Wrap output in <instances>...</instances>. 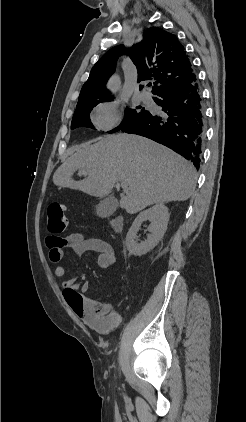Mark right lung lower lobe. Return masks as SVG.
<instances>
[{"mask_svg": "<svg viewBox=\"0 0 246 422\" xmlns=\"http://www.w3.org/2000/svg\"><path fill=\"white\" fill-rule=\"evenodd\" d=\"M165 116L150 113L122 129L161 143L190 160L198 169L205 139V117L197 81L178 85L154 98Z\"/></svg>", "mask_w": 246, "mask_h": 422, "instance_id": "1", "label": "right lung lower lobe"}]
</instances>
